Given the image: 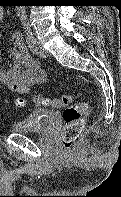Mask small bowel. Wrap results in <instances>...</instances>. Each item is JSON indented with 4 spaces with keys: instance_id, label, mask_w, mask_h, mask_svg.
I'll return each instance as SVG.
<instances>
[{
    "instance_id": "small-bowel-1",
    "label": "small bowel",
    "mask_w": 121,
    "mask_h": 197,
    "mask_svg": "<svg viewBox=\"0 0 121 197\" xmlns=\"http://www.w3.org/2000/svg\"><path fill=\"white\" fill-rule=\"evenodd\" d=\"M4 19V10L0 7V23ZM13 47L9 54L0 56V64L7 59L11 60L8 67L0 69V84L7 90L21 94H28L36 86L43 83L46 72L41 68L39 61L29 53L21 33L12 35Z\"/></svg>"
}]
</instances>
